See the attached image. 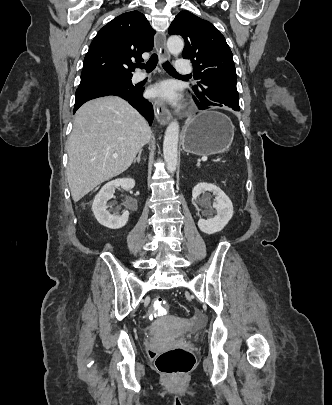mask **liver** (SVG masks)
<instances>
[{"label": "liver", "mask_w": 332, "mask_h": 405, "mask_svg": "<svg viewBox=\"0 0 332 405\" xmlns=\"http://www.w3.org/2000/svg\"><path fill=\"white\" fill-rule=\"evenodd\" d=\"M151 139L145 119L116 96L83 104L68 140L67 181L74 202L129 168Z\"/></svg>", "instance_id": "1"}]
</instances>
